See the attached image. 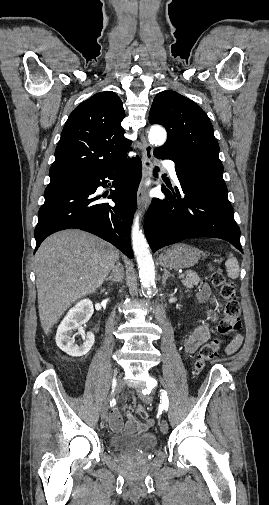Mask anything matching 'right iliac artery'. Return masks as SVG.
<instances>
[{"mask_svg": "<svg viewBox=\"0 0 269 505\" xmlns=\"http://www.w3.org/2000/svg\"><path fill=\"white\" fill-rule=\"evenodd\" d=\"M115 381H116V380H115V379H113V387L115 386V385H114V382H115Z\"/></svg>", "mask_w": 269, "mask_h": 505, "instance_id": "obj_1", "label": "right iliac artery"}]
</instances>
